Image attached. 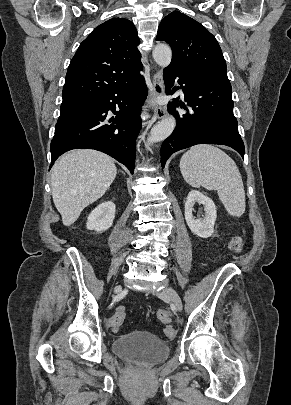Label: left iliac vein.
Listing matches in <instances>:
<instances>
[{
  "mask_svg": "<svg viewBox=\"0 0 291 405\" xmlns=\"http://www.w3.org/2000/svg\"><path fill=\"white\" fill-rule=\"evenodd\" d=\"M157 294L159 297L169 298L173 302L177 310L180 312L182 311L183 305L181 298L173 288L166 286L162 290H160Z\"/></svg>",
  "mask_w": 291,
  "mask_h": 405,
  "instance_id": "4c4485c4",
  "label": "left iliac vein"
}]
</instances>
